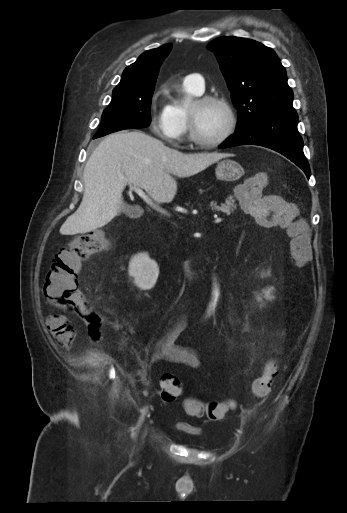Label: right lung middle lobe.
<instances>
[{
    "instance_id": "right-lung-middle-lobe-1",
    "label": "right lung middle lobe",
    "mask_w": 347,
    "mask_h": 513,
    "mask_svg": "<svg viewBox=\"0 0 347 513\" xmlns=\"http://www.w3.org/2000/svg\"><path fill=\"white\" fill-rule=\"evenodd\" d=\"M155 84L147 87L117 88L102 114L97 138L112 132L147 127L150 122V105Z\"/></svg>"
}]
</instances>
